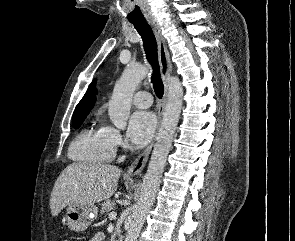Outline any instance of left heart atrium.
Listing matches in <instances>:
<instances>
[{"label":"left heart atrium","instance_id":"1","mask_svg":"<svg viewBox=\"0 0 295 241\" xmlns=\"http://www.w3.org/2000/svg\"><path fill=\"white\" fill-rule=\"evenodd\" d=\"M155 128L156 120L151 112L137 111L130 117L127 137L133 145L142 147L150 141Z\"/></svg>","mask_w":295,"mask_h":241}]
</instances>
